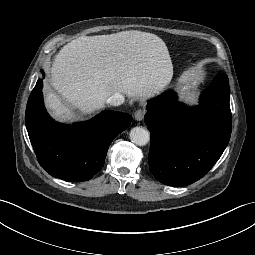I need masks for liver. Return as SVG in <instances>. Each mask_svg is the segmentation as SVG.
I'll return each mask as SVG.
<instances>
[{
    "label": "liver",
    "mask_w": 255,
    "mask_h": 255,
    "mask_svg": "<svg viewBox=\"0 0 255 255\" xmlns=\"http://www.w3.org/2000/svg\"><path fill=\"white\" fill-rule=\"evenodd\" d=\"M172 76L167 46L152 33L131 30L82 36L59 51L51 68V84L66 103L48 90L45 105L55 119L72 122L103 109L115 93L150 99Z\"/></svg>",
    "instance_id": "6515ba94"
}]
</instances>
